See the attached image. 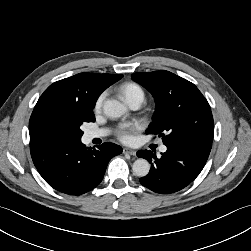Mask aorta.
<instances>
[{
    "label": "aorta",
    "instance_id": "1",
    "mask_svg": "<svg viewBox=\"0 0 251 251\" xmlns=\"http://www.w3.org/2000/svg\"><path fill=\"white\" fill-rule=\"evenodd\" d=\"M126 110L124 104L115 99H109L103 105L105 115L111 118L121 117ZM132 170L136 176L145 177L150 171V164L147 160L139 158L133 163Z\"/></svg>",
    "mask_w": 251,
    "mask_h": 251
}]
</instances>
